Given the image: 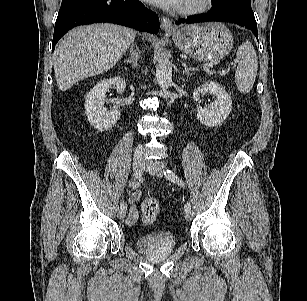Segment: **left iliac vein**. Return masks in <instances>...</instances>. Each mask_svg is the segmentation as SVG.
I'll use <instances>...</instances> for the list:
<instances>
[{"mask_svg": "<svg viewBox=\"0 0 307 301\" xmlns=\"http://www.w3.org/2000/svg\"><path fill=\"white\" fill-rule=\"evenodd\" d=\"M163 168H164V164L161 162L153 161V160L146 161V171L155 176L162 177ZM193 216H194V212L191 208L185 211V218L187 221H191L193 219Z\"/></svg>", "mask_w": 307, "mask_h": 301, "instance_id": "4c4485c4", "label": "left iliac vein"}]
</instances>
